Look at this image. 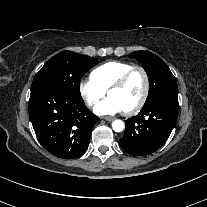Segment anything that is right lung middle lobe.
I'll return each instance as SVG.
<instances>
[{
    "label": "right lung middle lobe",
    "mask_w": 207,
    "mask_h": 207,
    "mask_svg": "<svg viewBox=\"0 0 207 207\" xmlns=\"http://www.w3.org/2000/svg\"><path fill=\"white\" fill-rule=\"evenodd\" d=\"M98 60L71 51H62L48 60L34 77L31 91L39 88H56L81 98L82 76Z\"/></svg>",
    "instance_id": "right-lung-middle-lobe-1"
}]
</instances>
